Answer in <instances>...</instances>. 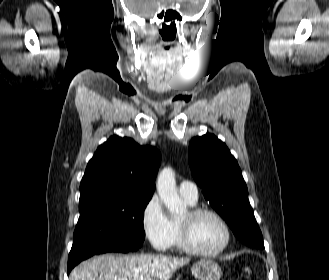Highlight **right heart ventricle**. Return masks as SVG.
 Returning a JSON list of instances; mask_svg holds the SVG:
<instances>
[{
  "mask_svg": "<svg viewBox=\"0 0 329 280\" xmlns=\"http://www.w3.org/2000/svg\"><path fill=\"white\" fill-rule=\"evenodd\" d=\"M185 201L187 202V204H189L190 206H194L196 202H192L190 200H188L187 198H184ZM173 223V227H174V240H173V246L177 247V248H181V242H180V234H179V221L173 219L172 220Z\"/></svg>",
  "mask_w": 329,
  "mask_h": 280,
  "instance_id": "right-heart-ventricle-1",
  "label": "right heart ventricle"
}]
</instances>
